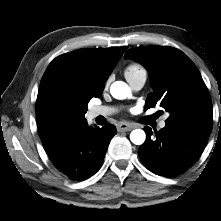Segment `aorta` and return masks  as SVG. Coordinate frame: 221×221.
I'll list each match as a JSON object with an SVG mask.
<instances>
[{
  "mask_svg": "<svg viewBox=\"0 0 221 221\" xmlns=\"http://www.w3.org/2000/svg\"><path fill=\"white\" fill-rule=\"evenodd\" d=\"M112 96L119 100L130 99L132 97L131 88L122 81H116L111 85ZM146 134L141 129H135L130 134V140L135 145H142L145 142Z\"/></svg>",
  "mask_w": 221,
  "mask_h": 221,
  "instance_id": "obj_1",
  "label": "aorta"
}]
</instances>
